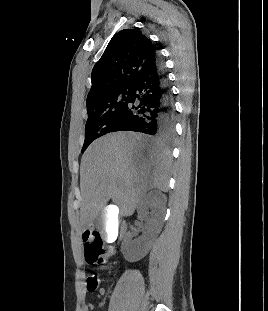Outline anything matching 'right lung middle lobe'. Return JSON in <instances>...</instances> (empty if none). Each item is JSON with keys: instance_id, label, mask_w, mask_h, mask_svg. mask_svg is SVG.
I'll return each instance as SVG.
<instances>
[{"instance_id": "1", "label": "right lung middle lobe", "mask_w": 268, "mask_h": 311, "mask_svg": "<svg viewBox=\"0 0 268 311\" xmlns=\"http://www.w3.org/2000/svg\"><path fill=\"white\" fill-rule=\"evenodd\" d=\"M132 96V87L114 91L87 107L88 119L85 126V141L81 152L109 130L125 110Z\"/></svg>"}]
</instances>
